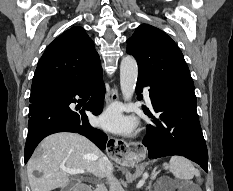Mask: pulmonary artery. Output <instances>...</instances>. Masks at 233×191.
Wrapping results in <instances>:
<instances>
[{
  "label": "pulmonary artery",
  "instance_id": "e3ab8cb5",
  "mask_svg": "<svg viewBox=\"0 0 233 191\" xmlns=\"http://www.w3.org/2000/svg\"><path fill=\"white\" fill-rule=\"evenodd\" d=\"M144 96L148 104H151L148 88L144 89Z\"/></svg>",
  "mask_w": 233,
  "mask_h": 191
}]
</instances>
